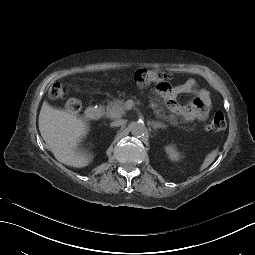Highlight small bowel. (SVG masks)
I'll use <instances>...</instances> for the list:
<instances>
[{
  "instance_id": "c3829d8e",
  "label": "small bowel",
  "mask_w": 255,
  "mask_h": 255,
  "mask_svg": "<svg viewBox=\"0 0 255 255\" xmlns=\"http://www.w3.org/2000/svg\"><path fill=\"white\" fill-rule=\"evenodd\" d=\"M196 87L197 82L194 79H188L174 88L168 86L166 89L159 91L169 97V108L174 114L181 116L187 121H202L206 119L211 108V97L207 90H200L196 98L187 106H181L173 100L179 94L193 92Z\"/></svg>"
}]
</instances>
